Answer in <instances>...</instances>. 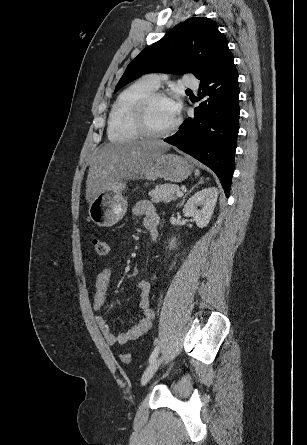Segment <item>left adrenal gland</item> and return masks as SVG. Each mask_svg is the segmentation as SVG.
Here are the masks:
<instances>
[{
    "instance_id": "obj_1",
    "label": "left adrenal gland",
    "mask_w": 307,
    "mask_h": 445,
    "mask_svg": "<svg viewBox=\"0 0 307 445\" xmlns=\"http://www.w3.org/2000/svg\"><path fill=\"white\" fill-rule=\"evenodd\" d=\"M201 182H203V178H200V180H199V182H197V184H201ZM197 184H194V186H192V188H190L189 192H192L193 188H195V186H197ZM189 192H186V194H189ZM186 194H184V196L182 198V202H180L179 206H182V204H184Z\"/></svg>"
}]
</instances>
